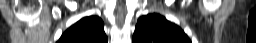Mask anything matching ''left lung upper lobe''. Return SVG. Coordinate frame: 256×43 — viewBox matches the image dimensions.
<instances>
[{
    "instance_id": "1",
    "label": "left lung upper lobe",
    "mask_w": 256,
    "mask_h": 43,
    "mask_svg": "<svg viewBox=\"0 0 256 43\" xmlns=\"http://www.w3.org/2000/svg\"><path fill=\"white\" fill-rule=\"evenodd\" d=\"M133 43H191L184 31L159 14L138 19Z\"/></svg>"
}]
</instances>
